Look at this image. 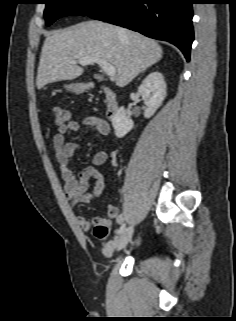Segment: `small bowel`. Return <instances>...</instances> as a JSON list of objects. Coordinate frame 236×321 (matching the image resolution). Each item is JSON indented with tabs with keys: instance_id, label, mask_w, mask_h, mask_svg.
<instances>
[{
	"instance_id": "c3829d8e",
	"label": "small bowel",
	"mask_w": 236,
	"mask_h": 321,
	"mask_svg": "<svg viewBox=\"0 0 236 321\" xmlns=\"http://www.w3.org/2000/svg\"><path fill=\"white\" fill-rule=\"evenodd\" d=\"M82 126L92 127L95 130L96 137L103 141V138L111 134L110 124L103 118L96 115H88L81 122L70 120L62 126H58L57 132L53 136V147L55 156L64 180L65 197L71 207L80 204H88L97 199L105 188L104 175L98 170L97 166L103 165L108 155L105 151H98L94 154L92 165L85 167L78 175H75L71 167V157L77 151L79 145L75 141H66L65 135L78 131ZM94 179L93 188L89 189V181ZM116 219L118 222L122 220L119 208L115 205L108 206V217H96L89 220L85 215L77 217L78 224L85 230H90L93 226L110 223ZM113 249L112 244H108L104 252L109 254Z\"/></svg>"
}]
</instances>
